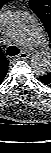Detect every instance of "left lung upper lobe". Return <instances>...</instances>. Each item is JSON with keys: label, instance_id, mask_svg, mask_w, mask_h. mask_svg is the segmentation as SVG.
<instances>
[{"label": "left lung upper lobe", "instance_id": "left-lung-upper-lobe-1", "mask_svg": "<svg viewBox=\"0 0 51 153\" xmlns=\"http://www.w3.org/2000/svg\"><path fill=\"white\" fill-rule=\"evenodd\" d=\"M29 6L42 21L51 40V0H30ZM44 78L51 83V72Z\"/></svg>", "mask_w": 51, "mask_h": 153}]
</instances>
